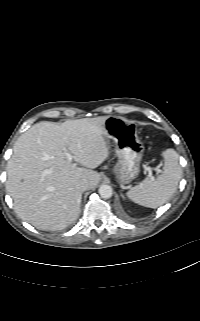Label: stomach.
Listing matches in <instances>:
<instances>
[{
	"instance_id": "0dacf381",
	"label": "stomach",
	"mask_w": 200,
	"mask_h": 321,
	"mask_svg": "<svg viewBox=\"0 0 200 321\" xmlns=\"http://www.w3.org/2000/svg\"><path fill=\"white\" fill-rule=\"evenodd\" d=\"M106 137L113 139L118 162L112 172L120 185L131 183L140 172L144 146L137 136L134 122L120 116H108L105 123Z\"/></svg>"
}]
</instances>
